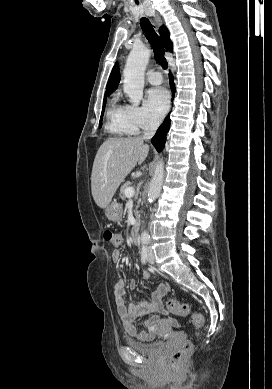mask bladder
<instances>
[{
  "instance_id": "1",
  "label": "bladder",
  "mask_w": 272,
  "mask_h": 389,
  "mask_svg": "<svg viewBox=\"0 0 272 389\" xmlns=\"http://www.w3.org/2000/svg\"><path fill=\"white\" fill-rule=\"evenodd\" d=\"M125 343L133 350L146 355H157L161 353L165 348V342L158 340L149 343H141L132 339L126 338Z\"/></svg>"
}]
</instances>
